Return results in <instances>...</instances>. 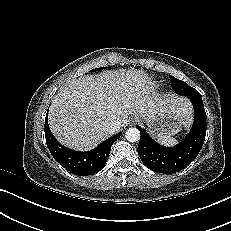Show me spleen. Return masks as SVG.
<instances>
[{
	"mask_svg": "<svg viewBox=\"0 0 231 231\" xmlns=\"http://www.w3.org/2000/svg\"><path fill=\"white\" fill-rule=\"evenodd\" d=\"M159 143L165 146H174L177 143V140L171 135H164L158 138Z\"/></svg>",
	"mask_w": 231,
	"mask_h": 231,
	"instance_id": "obj_1",
	"label": "spleen"
}]
</instances>
